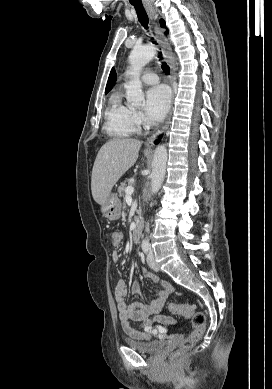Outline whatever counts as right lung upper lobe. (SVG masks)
<instances>
[{"label": "right lung upper lobe", "instance_id": "1", "mask_svg": "<svg viewBox=\"0 0 272 389\" xmlns=\"http://www.w3.org/2000/svg\"><path fill=\"white\" fill-rule=\"evenodd\" d=\"M115 81H116V72H115L114 68H112L110 75H109V78H108L107 85H106L105 93H108L109 91H111Z\"/></svg>", "mask_w": 272, "mask_h": 389}]
</instances>
